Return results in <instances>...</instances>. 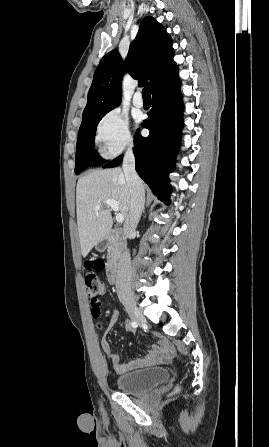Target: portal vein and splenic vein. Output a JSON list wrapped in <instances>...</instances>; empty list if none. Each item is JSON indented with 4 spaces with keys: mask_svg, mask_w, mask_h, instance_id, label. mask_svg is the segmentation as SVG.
<instances>
[{
    "mask_svg": "<svg viewBox=\"0 0 269 447\" xmlns=\"http://www.w3.org/2000/svg\"><path fill=\"white\" fill-rule=\"evenodd\" d=\"M105 204L111 206V210H114V212H119V206L116 200H105ZM98 210H100V206H95V212H98ZM123 220L122 214H116V222H123Z\"/></svg>",
    "mask_w": 269,
    "mask_h": 447,
    "instance_id": "18ae733b",
    "label": "portal vein and splenic vein"
}]
</instances>
